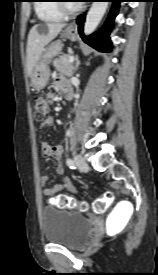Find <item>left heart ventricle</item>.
<instances>
[{"instance_id": "b2bd125f", "label": "left heart ventricle", "mask_w": 158, "mask_h": 275, "mask_svg": "<svg viewBox=\"0 0 158 275\" xmlns=\"http://www.w3.org/2000/svg\"><path fill=\"white\" fill-rule=\"evenodd\" d=\"M70 6H76L77 4L75 3H68Z\"/></svg>"}]
</instances>
